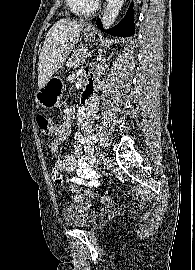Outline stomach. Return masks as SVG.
<instances>
[{
    "instance_id": "obj_1",
    "label": "stomach",
    "mask_w": 195,
    "mask_h": 270,
    "mask_svg": "<svg viewBox=\"0 0 195 270\" xmlns=\"http://www.w3.org/2000/svg\"><path fill=\"white\" fill-rule=\"evenodd\" d=\"M84 35L87 38H92L96 35L95 30L85 29ZM66 88L62 79L53 77L40 88L36 94V101L44 108H53L57 106L64 95Z\"/></svg>"
}]
</instances>
